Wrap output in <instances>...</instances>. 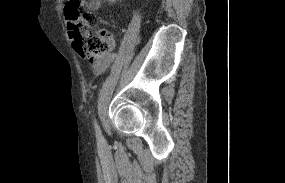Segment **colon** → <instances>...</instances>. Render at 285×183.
Segmentation results:
<instances>
[{"label":"colon","instance_id":"1","mask_svg":"<svg viewBox=\"0 0 285 183\" xmlns=\"http://www.w3.org/2000/svg\"><path fill=\"white\" fill-rule=\"evenodd\" d=\"M82 0H69L65 20L69 38L75 51L91 62L102 60L113 54L115 42L112 34L97 28L94 14L81 8Z\"/></svg>","mask_w":285,"mask_h":183}]
</instances>
